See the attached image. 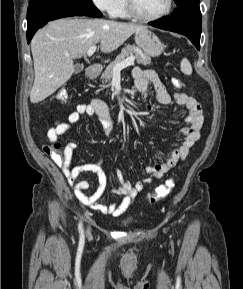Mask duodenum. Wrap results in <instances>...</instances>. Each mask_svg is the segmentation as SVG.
I'll list each match as a JSON object with an SVG mask.
<instances>
[{"label": "duodenum", "instance_id": "duodenum-1", "mask_svg": "<svg viewBox=\"0 0 243 289\" xmlns=\"http://www.w3.org/2000/svg\"><path fill=\"white\" fill-rule=\"evenodd\" d=\"M99 66L97 65H92V66H89L88 69H87V75L90 77V78H93L95 76L98 75L99 73Z\"/></svg>", "mask_w": 243, "mask_h": 289}]
</instances>
